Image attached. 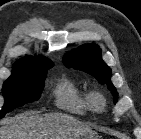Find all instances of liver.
Instances as JSON below:
<instances>
[{
	"label": "liver",
	"instance_id": "1",
	"mask_svg": "<svg viewBox=\"0 0 141 139\" xmlns=\"http://www.w3.org/2000/svg\"><path fill=\"white\" fill-rule=\"evenodd\" d=\"M91 128L63 113L25 112L5 121L0 139H75Z\"/></svg>",
	"mask_w": 141,
	"mask_h": 139
}]
</instances>
